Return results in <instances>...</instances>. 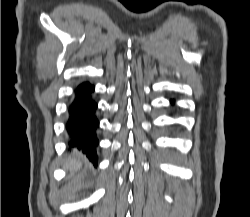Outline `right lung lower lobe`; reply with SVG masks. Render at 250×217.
Instances as JSON below:
<instances>
[{
  "label": "right lung lower lobe",
  "instance_id": "right-lung-lower-lobe-1",
  "mask_svg": "<svg viewBox=\"0 0 250 217\" xmlns=\"http://www.w3.org/2000/svg\"><path fill=\"white\" fill-rule=\"evenodd\" d=\"M93 91L94 86L90 83H83L77 87L75 98L68 109L66 130L69 135V145L81 150L97 166L96 130L99 121L95 116L97 103L92 99Z\"/></svg>",
  "mask_w": 250,
  "mask_h": 217
}]
</instances>
